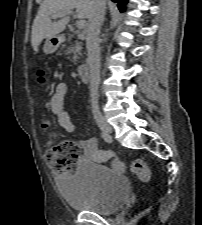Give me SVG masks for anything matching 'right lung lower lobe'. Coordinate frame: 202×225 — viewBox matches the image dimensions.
<instances>
[{"mask_svg": "<svg viewBox=\"0 0 202 225\" xmlns=\"http://www.w3.org/2000/svg\"><path fill=\"white\" fill-rule=\"evenodd\" d=\"M113 2L118 3V8L120 9V11H123L125 8V4L127 3V0H112Z\"/></svg>", "mask_w": 202, "mask_h": 225, "instance_id": "obj_1", "label": "right lung lower lobe"}]
</instances>
